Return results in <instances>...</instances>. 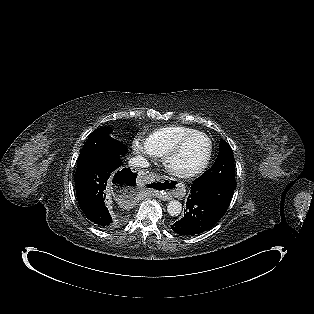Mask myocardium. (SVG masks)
I'll return each mask as SVG.
<instances>
[{"label":"myocardium","mask_w":314,"mask_h":314,"mask_svg":"<svg viewBox=\"0 0 314 314\" xmlns=\"http://www.w3.org/2000/svg\"><path fill=\"white\" fill-rule=\"evenodd\" d=\"M195 136H203L208 142V153L206 159L198 167L182 171L173 166V159L183 150L186 142ZM213 157V142L212 139L206 133L202 131H195L182 137L165 155L163 163L165 168L172 174L181 178H193L202 174L210 165Z\"/></svg>","instance_id":"1"}]
</instances>
